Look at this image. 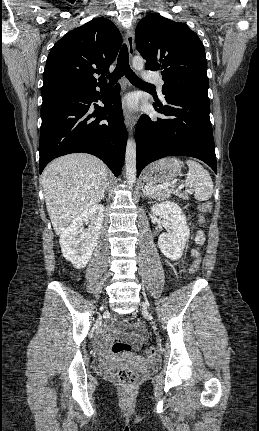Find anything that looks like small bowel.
Listing matches in <instances>:
<instances>
[{"label": "small bowel", "instance_id": "c3829d8e", "mask_svg": "<svg viewBox=\"0 0 259 431\" xmlns=\"http://www.w3.org/2000/svg\"><path fill=\"white\" fill-rule=\"evenodd\" d=\"M204 241V235L201 231L196 233V242L202 244ZM192 256H195L197 252L192 251ZM181 265V263H180ZM114 331H120L122 336L132 345L135 350L140 349L145 338V330L142 325H133L129 330H125L120 322L112 321L108 323L98 334L97 345L101 352H104L107 345L112 341V333Z\"/></svg>", "mask_w": 259, "mask_h": 431}]
</instances>
